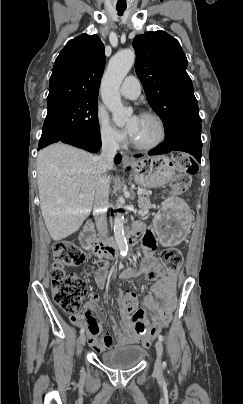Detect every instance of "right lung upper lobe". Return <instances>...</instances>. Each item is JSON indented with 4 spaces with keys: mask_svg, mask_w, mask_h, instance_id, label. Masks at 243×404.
Listing matches in <instances>:
<instances>
[{
    "mask_svg": "<svg viewBox=\"0 0 243 404\" xmlns=\"http://www.w3.org/2000/svg\"><path fill=\"white\" fill-rule=\"evenodd\" d=\"M104 66V45L97 35L82 34L70 40L53 66L47 105L97 99Z\"/></svg>",
    "mask_w": 243,
    "mask_h": 404,
    "instance_id": "obj_1",
    "label": "right lung upper lobe"
}]
</instances>
